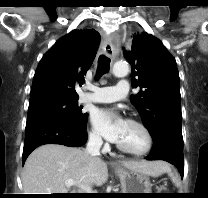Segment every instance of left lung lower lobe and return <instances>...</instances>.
<instances>
[{
    "label": "left lung lower lobe",
    "instance_id": "left-lung-lower-lobe-1",
    "mask_svg": "<svg viewBox=\"0 0 208 198\" xmlns=\"http://www.w3.org/2000/svg\"><path fill=\"white\" fill-rule=\"evenodd\" d=\"M147 160H164L177 167L181 177L184 175L183 141L171 135H163L154 141Z\"/></svg>",
    "mask_w": 208,
    "mask_h": 198
}]
</instances>
